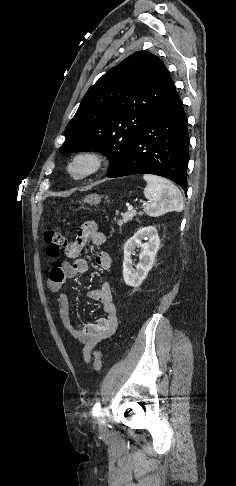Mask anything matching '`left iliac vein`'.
Masks as SVG:
<instances>
[{
  "label": "left iliac vein",
  "instance_id": "obj_1",
  "mask_svg": "<svg viewBox=\"0 0 236 486\" xmlns=\"http://www.w3.org/2000/svg\"><path fill=\"white\" fill-rule=\"evenodd\" d=\"M98 423H99V432L100 434H105L107 432V426H106V419L100 412L98 415Z\"/></svg>",
  "mask_w": 236,
  "mask_h": 486
}]
</instances>
